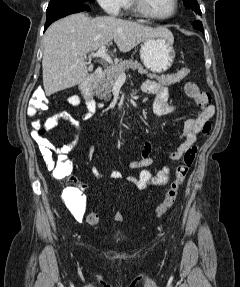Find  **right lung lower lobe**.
<instances>
[{
  "label": "right lung lower lobe",
  "mask_w": 240,
  "mask_h": 287,
  "mask_svg": "<svg viewBox=\"0 0 240 287\" xmlns=\"http://www.w3.org/2000/svg\"><path fill=\"white\" fill-rule=\"evenodd\" d=\"M90 8L87 4H81V5H73V6H67L58 8L55 10L50 11L48 14H46V24L45 29L54 21L58 20L59 18H62L64 16H67L69 14L78 13L82 11H89Z\"/></svg>",
  "instance_id": "98d812e1"
}]
</instances>
